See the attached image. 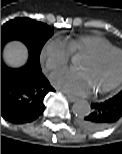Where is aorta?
<instances>
[{"mask_svg": "<svg viewBox=\"0 0 122 154\" xmlns=\"http://www.w3.org/2000/svg\"><path fill=\"white\" fill-rule=\"evenodd\" d=\"M91 107L86 100H79L73 104V113L78 117H84L90 113Z\"/></svg>", "mask_w": 122, "mask_h": 154, "instance_id": "aorta-1", "label": "aorta"}]
</instances>
